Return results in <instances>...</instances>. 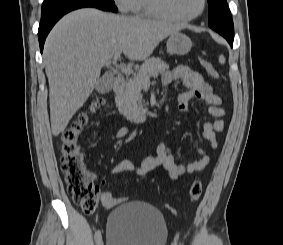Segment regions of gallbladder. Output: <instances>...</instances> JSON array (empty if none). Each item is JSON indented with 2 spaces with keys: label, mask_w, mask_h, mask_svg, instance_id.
I'll return each instance as SVG.
<instances>
[{
  "label": "gallbladder",
  "mask_w": 283,
  "mask_h": 245,
  "mask_svg": "<svg viewBox=\"0 0 283 245\" xmlns=\"http://www.w3.org/2000/svg\"><path fill=\"white\" fill-rule=\"evenodd\" d=\"M111 84L106 80L105 77L99 79L97 82V91L99 93H106L110 90Z\"/></svg>",
  "instance_id": "bac80fb5"
}]
</instances>
